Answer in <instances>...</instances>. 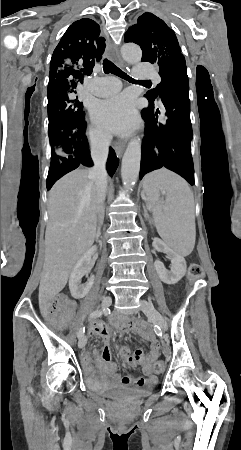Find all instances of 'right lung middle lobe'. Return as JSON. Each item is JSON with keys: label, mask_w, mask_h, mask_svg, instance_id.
Instances as JSON below:
<instances>
[{"label": "right lung middle lobe", "mask_w": 241, "mask_h": 450, "mask_svg": "<svg viewBox=\"0 0 241 450\" xmlns=\"http://www.w3.org/2000/svg\"><path fill=\"white\" fill-rule=\"evenodd\" d=\"M76 92H69L55 99H48V133L52 150V159L74 154L73 147L61 128L85 120L83 103Z\"/></svg>", "instance_id": "dd1d6c3e"}]
</instances>
